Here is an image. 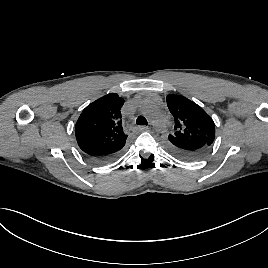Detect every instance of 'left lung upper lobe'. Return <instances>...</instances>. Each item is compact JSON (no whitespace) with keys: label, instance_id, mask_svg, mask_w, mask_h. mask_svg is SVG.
<instances>
[{"label":"left lung upper lobe","instance_id":"left-lung-upper-lobe-1","mask_svg":"<svg viewBox=\"0 0 268 268\" xmlns=\"http://www.w3.org/2000/svg\"><path fill=\"white\" fill-rule=\"evenodd\" d=\"M166 100L175 120L174 132L168 140H198L209 146L213 144L215 124L199 105L179 95H168Z\"/></svg>","mask_w":268,"mask_h":268}]
</instances>
